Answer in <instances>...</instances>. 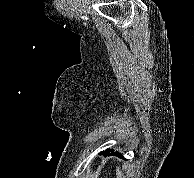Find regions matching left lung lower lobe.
<instances>
[{
    "instance_id": "0a47b994",
    "label": "left lung lower lobe",
    "mask_w": 194,
    "mask_h": 178,
    "mask_svg": "<svg viewBox=\"0 0 194 178\" xmlns=\"http://www.w3.org/2000/svg\"><path fill=\"white\" fill-rule=\"evenodd\" d=\"M101 154H104L105 156L106 155H119V156H122L121 154H119L118 152H114L113 149H107L105 151H103Z\"/></svg>"
}]
</instances>
